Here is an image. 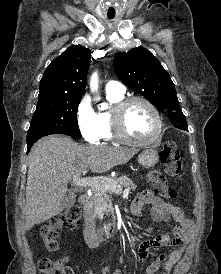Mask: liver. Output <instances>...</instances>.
Returning a JSON list of instances; mask_svg holds the SVG:
<instances>
[{
  "label": "liver",
  "mask_w": 221,
  "mask_h": 274,
  "mask_svg": "<svg viewBox=\"0 0 221 274\" xmlns=\"http://www.w3.org/2000/svg\"><path fill=\"white\" fill-rule=\"evenodd\" d=\"M138 150L80 145L61 135L45 137L31 149L26 186L25 228L60 214L68 182L76 174L105 173L127 163Z\"/></svg>",
  "instance_id": "liver-1"
}]
</instances>
